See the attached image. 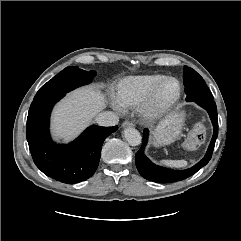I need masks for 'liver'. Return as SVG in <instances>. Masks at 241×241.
Here are the masks:
<instances>
[{"label":"liver","mask_w":241,"mask_h":241,"mask_svg":"<svg viewBox=\"0 0 241 241\" xmlns=\"http://www.w3.org/2000/svg\"><path fill=\"white\" fill-rule=\"evenodd\" d=\"M105 102L104 94L95 87L74 90L53 111V135L66 141L76 137L105 107Z\"/></svg>","instance_id":"obj_1"}]
</instances>
